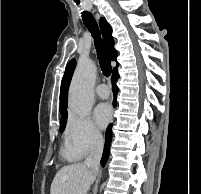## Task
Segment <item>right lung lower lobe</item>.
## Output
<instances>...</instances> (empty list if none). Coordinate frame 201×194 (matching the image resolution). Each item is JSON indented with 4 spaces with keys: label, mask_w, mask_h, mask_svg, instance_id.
<instances>
[{
    "label": "right lung lower lobe",
    "mask_w": 201,
    "mask_h": 194,
    "mask_svg": "<svg viewBox=\"0 0 201 194\" xmlns=\"http://www.w3.org/2000/svg\"><path fill=\"white\" fill-rule=\"evenodd\" d=\"M119 78V74L118 71L115 70L113 71L112 74V90H113V94H114V105H116V95L118 93V87L116 86V82ZM112 141V124H110L106 130V134H105V146H104V151H103V155H102V159H101V164L104 166L108 157H109V150H110V144Z\"/></svg>",
    "instance_id": "obj_1"
}]
</instances>
